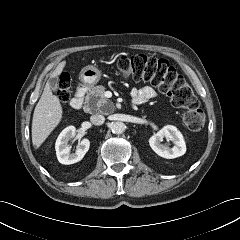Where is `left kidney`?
Wrapping results in <instances>:
<instances>
[{
	"label": "left kidney",
	"instance_id": "1",
	"mask_svg": "<svg viewBox=\"0 0 240 240\" xmlns=\"http://www.w3.org/2000/svg\"><path fill=\"white\" fill-rule=\"evenodd\" d=\"M163 138L172 141L174 146L169 148L168 146L161 144ZM149 145L156 154L166 159L180 157L186 152V145L181 132L172 125L164 126L156 134L151 136L149 138Z\"/></svg>",
	"mask_w": 240,
	"mask_h": 240
}]
</instances>
